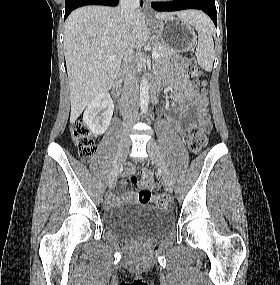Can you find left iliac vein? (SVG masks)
Masks as SVG:
<instances>
[{"label":"left iliac vein","mask_w":280,"mask_h":285,"mask_svg":"<svg viewBox=\"0 0 280 285\" xmlns=\"http://www.w3.org/2000/svg\"><path fill=\"white\" fill-rule=\"evenodd\" d=\"M147 150L150 154V158L155 166L160 170L164 187L167 191L172 192L173 182L167 166L164 163L163 157L160 153L158 145L153 141L149 140L147 144Z\"/></svg>","instance_id":"obj_1"}]
</instances>
